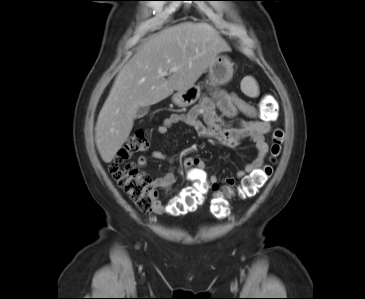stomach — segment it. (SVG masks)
Instances as JSON below:
<instances>
[{"label": "stomach", "instance_id": "0dacf381", "mask_svg": "<svg viewBox=\"0 0 365 299\" xmlns=\"http://www.w3.org/2000/svg\"><path fill=\"white\" fill-rule=\"evenodd\" d=\"M233 63L225 55H218L208 66V77L212 84L224 85L233 77ZM200 97V87L193 85L186 90L177 91L172 96V101L179 107L194 104Z\"/></svg>", "mask_w": 365, "mask_h": 299}]
</instances>
